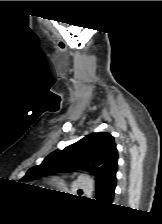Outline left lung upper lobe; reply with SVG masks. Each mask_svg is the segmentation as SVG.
<instances>
[{"instance_id": "obj_1", "label": "left lung upper lobe", "mask_w": 162, "mask_h": 224, "mask_svg": "<svg viewBox=\"0 0 162 224\" xmlns=\"http://www.w3.org/2000/svg\"><path fill=\"white\" fill-rule=\"evenodd\" d=\"M118 151L114 138L105 132L94 133L78 142L49 154L42 164L28 170L22 181L42 177L51 172H66L77 168L96 176L99 186L117 170Z\"/></svg>"}]
</instances>
